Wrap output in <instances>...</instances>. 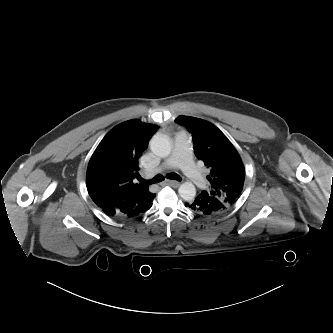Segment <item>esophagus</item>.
<instances>
[{"mask_svg": "<svg viewBox=\"0 0 333 333\" xmlns=\"http://www.w3.org/2000/svg\"><path fill=\"white\" fill-rule=\"evenodd\" d=\"M163 185H169V186H172V187H178L180 185V183L178 181H174V180H165L163 182Z\"/></svg>", "mask_w": 333, "mask_h": 333, "instance_id": "esophagus-1", "label": "esophagus"}]
</instances>
